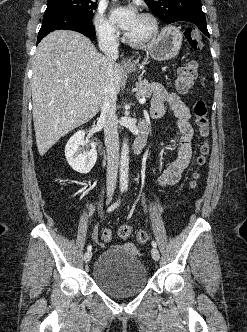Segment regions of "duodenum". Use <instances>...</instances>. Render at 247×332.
<instances>
[{
	"instance_id": "1",
	"label": "duodenum",
	"mask_w": 247,
	"mask_h": 332,
	"mask_svg": "<svg viewBox=\"0 0 247 332\" xmlns=\"http://www.w3.org/2000/svg\"><path fill=\"white\" fill-rule=\"evenodd\" d=\"M148 137L147 127L144 120H142L139 124V132L136 136L133 146H132V152L134 154H139L143 150L146 141Z\"/></svg>"
}]
</instances>
